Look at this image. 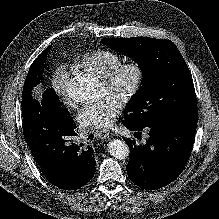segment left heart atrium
Segmentation results:
<instances>
[{
    "label": "left heart atrium",
    "mask_w": 219,
    "mask_h": 219,
    "mask_svg": "<svg viewBox=\"0 0 219 219\" xmlns=\"http://www.w3.org/2000/svg\"><path fill=\"white\" fill-rule=\"evenodd\" d=\"M120 110V101L111 95H106L98 102L85 106L79 112L77 121L83 128H107L119 115Z\"/></svg>",
    "instance_id": "39dd6f15"
}]
</instances>
